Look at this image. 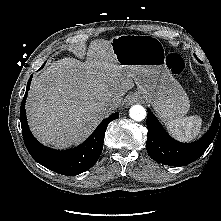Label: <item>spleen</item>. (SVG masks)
I'll return each instance as SVG.
<instances>
[{
  "instance_id": "1",
  "label": "spleen",
  "mask_w": 221,
  "mask_h": 221,
  "mask_svg": "<svg viewBox=\"0 0 221 221\" xmlns=\"http://www.w3.org/2000/svg\"><path fill=\"white\" fill-rule=\"evenodd\" d=\"M201 126L202 118L195 115L169 121L167 123V130L177 140L188 142L200 134Z\"/></svg>"
}]
</instances>
